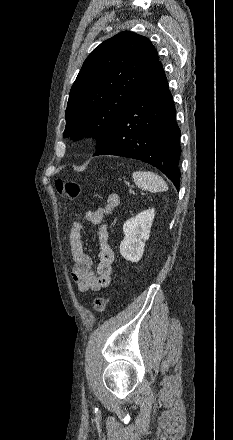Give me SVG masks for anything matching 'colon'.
I'll list each match as a JSON object with an SVG mask.
<instances>
[{
    "mask_svg": "<svg viewBox=\"0 0 233 440\" xmlns=\"http://www.w3.org/2000/svg\"><path fill=\"white\" fill-rule=\"evenodd\" d=\"M55 188L60 195L72 199L77 198L81 193V187L77 182L67 181L62 178H58L55 181ZM108 301L109 296L97 297L93 303V310L96 313H102L105 310Z\"/></svg>",
    "mask_w": 233,
    "mask_h": 440,
    "instance_id": "1",
    "label": "colon"
}]
</instances>
